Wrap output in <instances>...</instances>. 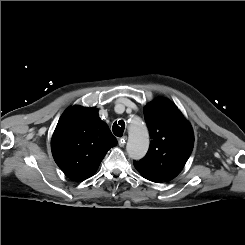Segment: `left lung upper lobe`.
I'll return each mask as SVG.
<instances>
[{"label":"left lung upper lobe","instance_id":"left-lung-upper-lobe-1","mask_svg":"<svg viewBox=\"0 0 245 245\" xmlns=\"http://www.w3.org/2000/svg\"><path fill=\"white\" fill-rule=\"evenodd\" d=\"M151 142L146 156L134 161L137 171L146 179L168 182L184 168L194 146L191 124L177 106L158 98L144 107Z\"/></svg>","mask_w":245,"mask_h":245}]
</instances>
